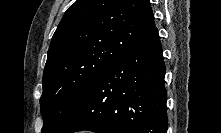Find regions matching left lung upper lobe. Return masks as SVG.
I'll return each mask as SVG.
<instances>
[{"instance_id":"obj_1","label":"left lung upper lobe","mask_w":221,"mask_h":133,"mask_svg":"<svg viewBox=\"0 0 221 133\" xmlns=\"http://www.w3.org/2000/svg\"><path fill=\"white\" fill-rule=\"evenodd\" d=\"M153 27L149 0H77L70 6L48 50L42 133H57L101 73Z\"/></svg>"}]
</instances>
